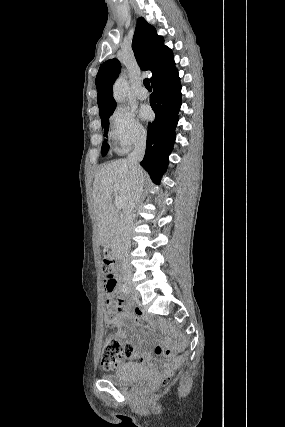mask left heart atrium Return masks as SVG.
I'll use <instances>...</instances> for the list:
<instances>
[{
  "mask_svg": "<svg viewBox=\"0 0 285 427\" xmlns=\"http://www.w3.org/2000/svg\"><path fill=\"white\" fill-rule=\"evenodd\" d=\"M140 117L142 119H145V120L150 119V117H151V110H150V108L148 106H143L141 108V110H140Z\"/></svg>",
  "mask_w": 285,
  "mask_h": 427,
  "instance_id": "1",
  "label": "left heart atrium"
}]
</instances>
